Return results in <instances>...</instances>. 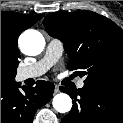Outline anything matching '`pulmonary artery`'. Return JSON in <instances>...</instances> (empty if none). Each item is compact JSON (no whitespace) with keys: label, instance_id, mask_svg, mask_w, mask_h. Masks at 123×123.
Masks as SVG:
<instances>
[{"label":"pulmonary artery","instance_id":"e3ab8cb5","mask_svg":"<svg viewBox=\"0 0 123 123\" xmlns=\"http://www.w3.org/2000/svg\"><path fill=\"white\" fill-rule=\"evenodd\" d=\"M63 53V43L56 38L51 39L46 47L44 56L37 62L21 68L17 73V78L24 81L29 78H36L46 73L61 57ZM84 86V81L79 80L78 88Z\"/></svg>","mask_w":123,"mask_h":123}]
</instances>
